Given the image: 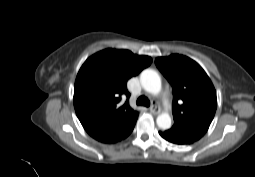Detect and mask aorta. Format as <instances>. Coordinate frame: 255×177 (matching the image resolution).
<instances>
[{
    "label": "aorta",
    "instance_id": "1",
    "mask_svg": "<svg viewBox=\"0 0 255 177\" xmlns=\"http://www.w3.org/2000/svg\"><path fill=\"white\" fill-rule=\"evenodd\" d=\"M140 81L145 91L150 94L157 95L160 93L162 85L158 73L152 69L144 70L140 75ZM156 123L160 129L166 130L171 127V117L168 113L160 114Z\"/></svg>",
    "mask_w": 255,
    "mask_h": 177
}]
</instances>
